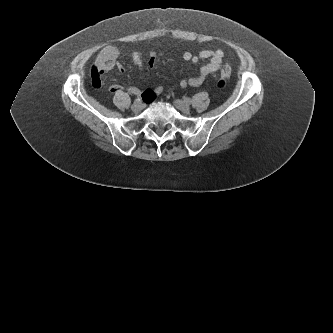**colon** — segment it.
<instances>
[{"label": "colon", "instance_id": "obj_1", "mask_svg": "<svg viewBox=\"0 0 333 333\" xmlns=\"http://www.w3.org/2000/svg\"><path fill=\"white\" fill-rule=\"evenodd\" d=\"M230 73V67L228 65H225L221 70V78L218 80L216 85L218 89H224L226 87Z\"/></svg>", "mask_w": 333, "mask_h": 333}]
</instances>
